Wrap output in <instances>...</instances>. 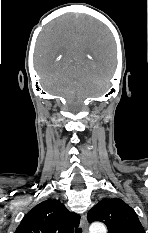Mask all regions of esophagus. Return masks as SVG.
Segmentation results:
<instances>
[{"instance_id":"34e87169","label":"esophagus","mask_w":148,"mask_h":233,"mask_svg":"<svg viewBox=\"0 0 148 233\" xmlns=\"http://www.w3.org/2000/svg\"><path fill=\"white\" fill-rule=\"evenodd\" d=\"M81 226H82L83 233H88V222H87V218L85 215L81 216Z\"/></svg>"}]
</instances>
